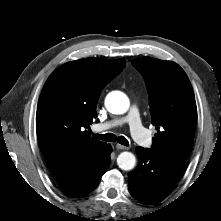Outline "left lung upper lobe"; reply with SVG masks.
I'll list each match as a JSON object with an SVG mask.
<instances>
[{
    "mask_svg": "<svg viewBox=\"0 0 221 221\" xmlns=\"http://www.w3.org/2000/svg\"><path fill=\"white\" fill-rule=\"evenodd\" d=\"M132 65L145 79L157 130L150 150L184 166L197 122L195 96L186 73L174 62L151 57L133 60Z\"/></svg>",
    "mask_w": 221,
    "mask_h": 221,
    "instance_id": "left-lung-upper-lobe-1",
    "label": "left lung upper lobe"
}]
</instances>
